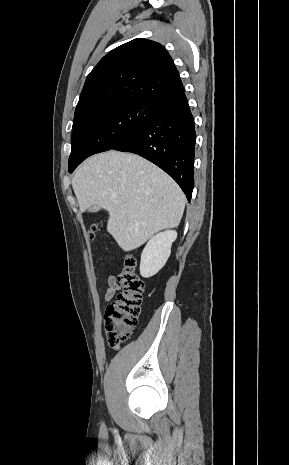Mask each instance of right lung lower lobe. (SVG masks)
<instances>
[{
  "label": "right lung lower lobe",
  "instance_id": "obj_1",
  "mask_svg": "<svg viewBox=\"0 0 289 465\" xmlns=\"http://www.w3.org/2000/svg\"><path fill=\"white\" fill-rule=\"evenodd\" d=\"M195 139L194 119L181 91L157 101L154 114L112 149L138 154L159 166L179 184L190 202Z\"/></svg>",
  "mask_w": 289,
  "mask_h": 465
}]
</instances>
